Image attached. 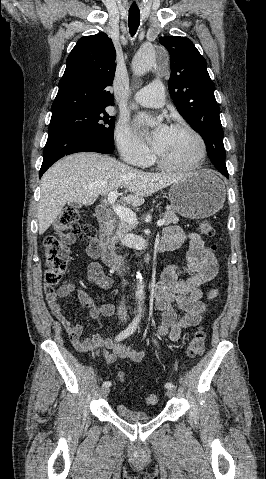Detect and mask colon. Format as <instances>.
I'll return each mask as SVG.
<instances>
[{
  "label": "colon",
  "instance_id": "1",
  "mask_svg": "<svg viewBox=\"0 0 266 479\" xmlns=\"http://www.w3.org/2000/svg\"><path fill=\"white\" fill-rule=\"evenodd\" d=\"M198 230L205 236H213L214 227L209 220H201L198 224ZM70 234L75 239L81 241H90L94 243L96 240L95 228L89 223H81L79 221V211L75 207H66L55 222L53 232L44 240V257L45 272L44 285L45 290L52 292L60 282L62 274L66 271L70 256L66 245L64 244L63 235ZM206 334L202 329L197 330L191 338L187 355L190 358L199 357L205 348ZM120 379L124 380V373H119ZM149 405H155L158 402L156 394H149L146 397Z\"/></svg>",
  "mask_w": 266,
  "mask_h": 479
}]
</instances>
